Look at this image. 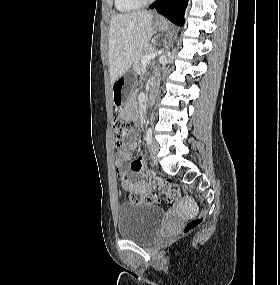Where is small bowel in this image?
<instances>
[{
	"mask_svg": "<svg viewBox=\"0 0 280 285\" xmlns=\"http://www.w3.org/2000/svg\"><path fill=\"white\" fill-rule=\"evenodd\" d=\"M123 116H128L127 111L121 113ZM137 142L133 139L126 143L119 151V157L115 160L117 177L120 181L121 188L130 193L149 194L154 189V184L150 181L146 175V159L144 155H139L133 159L126 167L127 162L130 159V152L136 149ZM138 175V179L131 180L128 178V174Z\"/></svg>",
	"mask_w": 280,
	"mask_h": 285,
	"instance_id": "obj_1",
	"label": "small bowel"
}]
</instances>
